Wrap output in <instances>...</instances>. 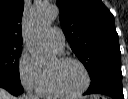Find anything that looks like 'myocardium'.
I'll use <instances>...</instances> for the list:
<instances>
[{"mask_svg":"<svg viewBox=\"0 0 128 99\" xmlns=\"http://www.w3.org/2000/svg\"><path fill=\"white\" fill-rule=\"evenodd\" d=\"M58 62L60 64H65V63L78 64L84 72L85 84L83 85V87L80 90H78L76 92H66L59 87V85L56 81L55 75L52 72L48 71L49 81H50L53 91L58 96L66 97V98H75V97L83 95L88 90V88L91 84V76H90L89 70L86 67V65L81 60L74 58V57H60V58H58Z\"/></svg>","mask_w":128,"mask_h":99,"instance_id":"obj_1","label":"myocardium"}]
</instances>
